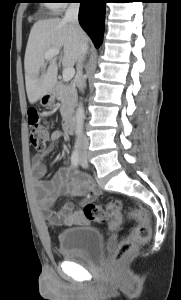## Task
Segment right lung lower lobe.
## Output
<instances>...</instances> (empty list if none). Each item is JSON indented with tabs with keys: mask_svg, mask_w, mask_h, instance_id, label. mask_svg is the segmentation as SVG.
Segmentation results:
<instances>
[{
	"mask_svg": "<svg viewBox=\"0 0 181 300\" xmlns=\"http://www.w3.org/2000/svg\"><path fill=\"white\" fill-rule=\"evenodd\" d=\"M80 4L79 22L98 48L103 39L105 3L107 0H77Z\"/></svg>",
	"mask_w": 181,
	"mask_h": 300,
	"instance_id": "98d812e1",
	"label": "right lung lower lobe"
}]
</instances>
